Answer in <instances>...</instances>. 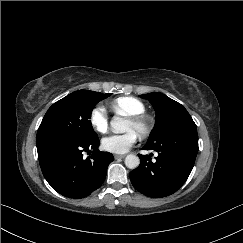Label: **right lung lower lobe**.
I'll use <instances>...</instances> for the list:
<instances>
[{
    "label": "right lung lower lobe",
    "mask_w": 243,
    "mask_h": 243,
    "mask_svg": "<svg viewBox=\"0 0 243 243\" xmlns=\"http://www.w3.org/2000/svg\"><path fill=\"white\" fill-rule=\"evenodd\" d=\"M99 139L78 141L51 137L37 142L41 170L58 193L69 198H84L105 180L108 165L114 160L109 152L98 150ZM83 158V152L91 153Z\"/></svg>",
    "instance_id": "right-lung-lower-lobe-1"
}]
</instances>
